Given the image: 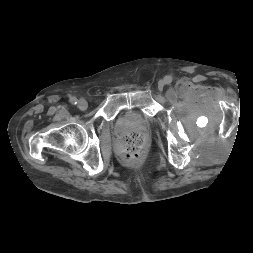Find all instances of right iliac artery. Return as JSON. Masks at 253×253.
Segmentation results:
<instances>
[{
    "label": "right iliac artery",
    "instance_id": "1",
    "mask_svg": "<svg viewBox=\"0 0 253 253\" xmlns=\"http://www.w3.org/2000/svg\"><path fill=\"white\" fill-rule=\"evenodd\" d=\"M70 103L73 104V105H76L78 103V100L76 97H71L70 98Z\"/></svg>",
    "mask_w": 253,
    "mask_h": 253
}]
</instances>
